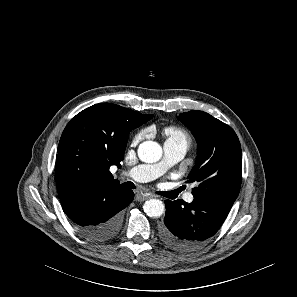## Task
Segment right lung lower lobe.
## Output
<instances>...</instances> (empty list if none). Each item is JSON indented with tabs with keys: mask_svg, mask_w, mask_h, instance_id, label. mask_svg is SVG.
<instances>
[{
	"mask_svg": "<svg viewBox=\"0 0 297 297\" xmlns=\"http://www.w3.org/2000/svg\"><path fill=\"white\" fill-rule=\"evenodd\" d=\"M133 199V191L119 184L86 183L61 199V204L82 236L95 242H106L119 233L122 210Z\"/></svg>",
	"mask_w": 297,
	"mask_h": 297,
	"instance_id": "1",
	"label": "right lung lower lobe"
}]
</instances>
